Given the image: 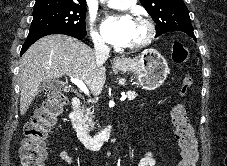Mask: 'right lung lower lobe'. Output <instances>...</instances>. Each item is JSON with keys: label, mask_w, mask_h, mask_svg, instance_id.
<instances>
[{"label": "right lung lower lobe", "mask_w": 227, "mask_h": 166, "mask_svg": "<svg viewBox=\"0 0 227 166\" xmlns=\"http://www.w3.org/2000/svg\"><path fill=\"white\" fill-rule=\"evenodd\" d=\"M50 34H65V35L75 37L79 40H81L85 37L84 34H78V33L70 32V31H49V32H45V33L39 34L37 36L27 38V40L25 41V43L22 46L20 54L22 55L38 39H40L44 36L50 35Z\"/></svg>", "instance_id": "right-lung-lower-lobe-1"}]
</instances>
